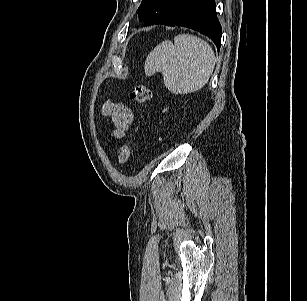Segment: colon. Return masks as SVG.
<instances>
[{"label": "colon", "mask_w": 307, "mask_h": 301, "mask_svg": "<svg viewBox=\"0 0 307 301\" xmlns=\"http://www.w3.org/2000/svg\"><path fill=\"white\" fill-rule=\"evenodd\" d=\"M151 90L145 84H138L130 92V98L138 104H146L151 99ZM131 153L130 145L127 142L121 144L118 153V162L124 164L128 161Z\"/></svg>", "instance_id": "colon-1"}]
</instances>
